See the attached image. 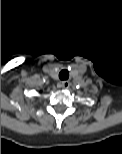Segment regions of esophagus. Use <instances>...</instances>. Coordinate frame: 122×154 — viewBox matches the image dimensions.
Masks as SVG:
<instances>
[{"label": "esophagus", "mask_w": 122, "mask_h": 154, "mask_svg": "<svg viewBox=\"0 0 122 154\" xmlns=\"http://www.w3.org/2000/svg\"><path fill=\"white\" fill-rule=\"evenodd\" d=\"M70 86V82L69 81H63L61 82V87L64 89H68Z\"/></svg>", "instance_id": "obj_1"}]
</instances>
